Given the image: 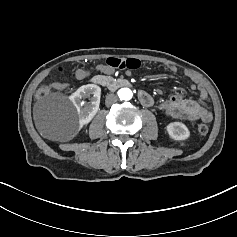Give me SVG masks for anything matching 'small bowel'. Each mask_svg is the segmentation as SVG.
Instances as JSON below:
<instances>
[{
  "label": "small bowel",
  "mask_w": 237,
  "mask_h": 237,
  "mask_svg": "<svg viewBox=\"0 0 237 237\" xmlns=\"http://www.w3.org/2000/svg\"><path fill=\"white\" fill-rule=\"evenodd\" d=\"M97 70L106 74H111L115 69L107 64H101L98 65ZM169 71L174 73L177 71V68L175 66H170ZM185 74L191 80L190 88L192 90H198L201 102L188 99L184 95L178 94L163 102H160L157 105L158 109L174 119H185L189 121L202 120L204 122H210L213 115L206 102L208 99V92L206 88L199 83L197 78L192 74L188 72H185ZM88 75L89 73L84 70H78L76 73V77L78 79H84ZM52 87L54 89L61 90L65 88V85L61 83H54ZM138 99L144 107L150 108L154 107L156 104L152 95L143 90L139 91Z\"/></svg>",
  "instance_id": "small-bowel-1"
}]
</instances>
